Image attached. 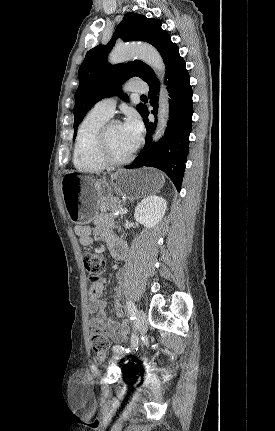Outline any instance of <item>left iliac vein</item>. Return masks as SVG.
Returning a JSON list of instances; mask_svg holds the SVG:
<instances>
[{
  "instance_id": "left-iliac-vein-1",
  "label": "left iliac vein",
  "mask_w": 275,
  "mask_h": 431,
  "mask_svg": "<svg viewBox=\"0 0 275 431\" xmlns=\"http://www.w3.org/2000/svg\"><path fill=\"white\" fill-rule=\"evenodd\" d=\"M139 335L143 336L147 331V320H146V314L142 309L137 310V322H136ZM139 340V338H138ZM126 353H114L113 358L114 359H120L125 356Z\"/></svg>"
}]
</instances>
